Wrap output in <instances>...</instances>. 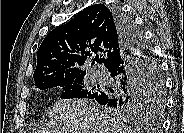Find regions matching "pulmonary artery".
<instances>
[{
  "mask_svg": "<svg viewBox=\"0 0 184 133\" xmlns=\"http://www.w3.org/2000/svg\"><path fill=\"white\" fill-rule=\"evenodd\" d=\"M93 78L98 81H104L105 80V74L100 71H94L93 72Z\"/></svg>",
  "mask_w": 184,
  "mask_h": 133,
  "instance_id": "e3ab8cb5",
  "label": "pulmonary artery"
}]
</instances>
